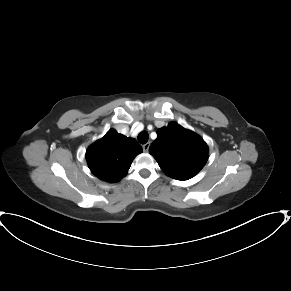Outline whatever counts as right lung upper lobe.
Masks as SVG:
<instances>
[{"label": "right lung upper lobe", "mask_w": 291, "mask_h": 291, "mask_svg": "<svg viewBox=\"0 0 291 291\" xmlns=\"http://www.w3.org/2000/svg\"><path fill=\"white\" fill-rule=\"evenodd\" d=\"M141 152L142 147L135 139L111 129L87 149L86 160L96 177L113 183L127 174L133 159Z\"/></svg>", "instance_id": "right-lung-upper-lobe-1"}]
</instances>
